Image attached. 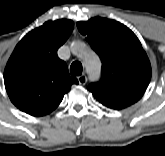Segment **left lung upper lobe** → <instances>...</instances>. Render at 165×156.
<instances>
[{
	"label": "left lung upper lobe",
	"instance_id": "left-lung-upper-lobe-1",
	"mask_svg": "<svg viewBox=\"0 0 165 156\" xmlns=\"http://www.w3.org/2000/svg\"><path fill=\"white\" fill-rule=\"evenodd\" d=\"M102 61V77L88 90L103 105L120 110L137 102L151 79V65L136 35L125 25L95 17L77 22Z\"/></svg>",
	"mask_w": 165,
	"mask_h": 156
}]
</instances>
